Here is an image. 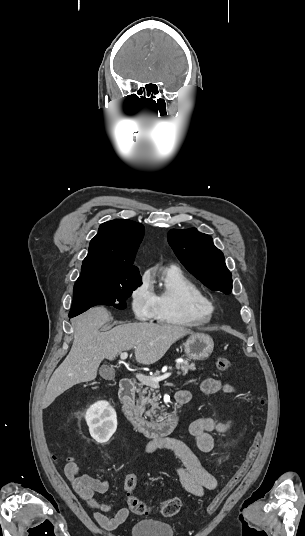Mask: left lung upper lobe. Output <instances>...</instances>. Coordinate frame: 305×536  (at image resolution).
Wrapping results in <instances>:
<instances>
[{"label":"left lung upper lobe","instance_id":"1","mask_svg":"<svg viewBox=\"0 0 305 536\" xmlns=\"http://www.w3.org/2000/svg\"><path fill=\"white\" fill-rule=\"evenodd\" d=\"M168 242L191 274L210 289L230 294L231 272L225 265L223 253L214 246L209 235L195 228L172 229L168 233Z\"/></svg>","mask_w":305,"mask_h":536}]
</instances>
